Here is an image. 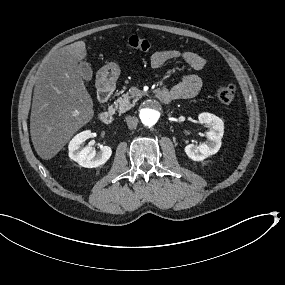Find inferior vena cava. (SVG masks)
<instances>
[{"mask_svg": "<svg viewBox=\"0 0 285 285\" xmlns=\"http://www.w3.org/2000/svg\"><path fill=\"white\" fill-rule=\"evenodd\" d=\"M127 126L129 129H135L138 124V118L135 116H127L126 118Z\"/></svg>", "mask_w": 285, "mask_h": 285, "instance_id": "obj_1", "label": "inferior vena cava"}]
</instances>
